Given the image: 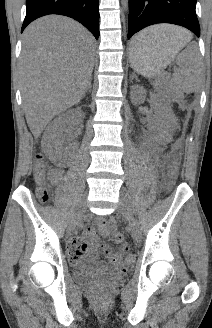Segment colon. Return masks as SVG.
I'll return each mask as SVG.
<instances>
[{"mask_svg":"<svg viewBox=\"0 0 212 328\" xmlns=\"http://www.w3.org/2000/svg\"><path fill=\"white\" fill-rule=\"evenodd\" d=\"M178 173V163L177 159L173 158L169 165V179L174 181ZM48 170L43 161L41 155L36 156V163L34 168V177L39 187L37 190V195L41 201H47L50 197V189L46 183ZM112 239L118 243V250L120 253L126 254L129 251V245L123 242V237L119 232L113 231L111 234ZM133 256H127V262L131 263L133 261Z\"/></svg>","mask_w":212,"mask_h":328,"instance_id":"obj_1","label":"colon"}]
</instances>
